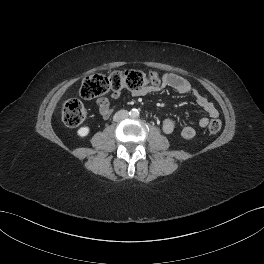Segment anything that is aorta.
<instances>
[{
	"label": "aorta",
	"instance_id": "762f6f07",
	"mask_svg": "<svg viewBox=\"0 0 264 264\" xmlns=\"http://www.w3.org/2000/svg\"><path fill=\"white\" fill-rule=\"evenodd\" d=\"M139 114H140V112H139L138 109H132V110L130 111V116H131L132 118H137V117L139 116Z\"/></svg>",
	"mask_w": 264,
	"mask_h": 264
}]
</instances>
